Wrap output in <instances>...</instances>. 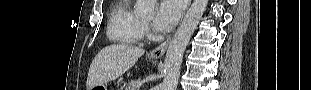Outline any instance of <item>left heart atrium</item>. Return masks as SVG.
I'll return each instance as SVG.
<instances>
[{
    "label": "left heart atrium",
    "mask_w": 311,
    "mask_h": 90,
    "mask_svg": "<svg viewBox=\"0 0 311 90\" xmlns=\"http://www.w3.org/2000/svg\"><path fill=\"white\" fill-rule=\"evenodd\" d=\"M183 10L181 0H163L160 2L153 26L157 31L166 32L178 22Z\"/></svg>",
    "instance_id": "obj_1"
}]
</instances>
